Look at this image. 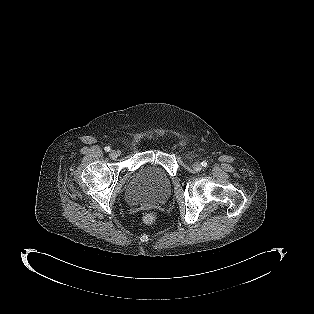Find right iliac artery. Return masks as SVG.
<instances>
[{"label":"right iliac artery","instance_id":"82829eb1","mask_svg":"<svg viewBox=\"0 0 314 314\" xmlns=\"http://www.w3.org/2000/svg\"><path fill=\"white\" fill-rule=\"evenodd\" d=\"M104 150L107 151V152H109L111 149H110L109 146H106V147L104 148Z\"/></svg>","mask_w":314,"mask_h":314}]
</instances>
